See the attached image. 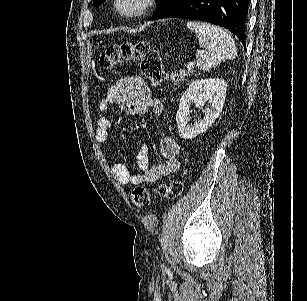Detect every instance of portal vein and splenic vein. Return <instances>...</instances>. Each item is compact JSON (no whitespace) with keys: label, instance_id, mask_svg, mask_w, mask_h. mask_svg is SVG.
Instances as JSON below:
<instances>
[{"label":"portal vein and splenic vein","instance_id":"1","mask_svg":"<svg viewBox=\"0 0 307 301\" xmlns=\"http://www.w3.org/2000/svg\"><path fill=\"white\" fill-rule=\"evenodd\" d=\"M195 64H196V62H187V64H186L187 70H189V72H191V70H194Z\"/></svg>","mask_w":307,"mask_h":301}]
</instances>
